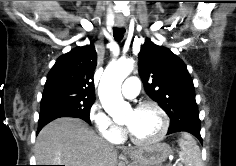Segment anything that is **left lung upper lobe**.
I'll return each mask as SVG.
<instances>
[{
  "label": "left lung upper lobe",
  "mask_w": 236,
  "mask_h": 166,
  "mask_svg": "<svg viewBox=\"0 0 236 166\" xmlns=\"http://www.w3.org/2000/svg\"><path fill=\"white\" fill-rule=\"evenodd\" d=\"M138 57L145 91L167 113L171 123L198 110L192 78L177 55L147 38Z\"/></svg>",
  "instance_id": "1"
}]
</instances>
